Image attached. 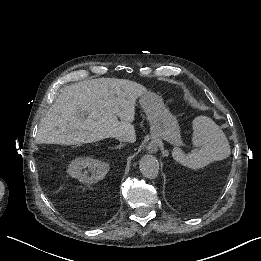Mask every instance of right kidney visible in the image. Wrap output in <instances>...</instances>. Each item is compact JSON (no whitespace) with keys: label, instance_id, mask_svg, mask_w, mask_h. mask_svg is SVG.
<instances>
[{"label":"right kidney","instance_id":"right-kidney-1","mask_svg":"<svg viewBox=\"0 0 261 261\" xmlns=\"http://www.w3.org/2000/svg\"><path fill=\"white\" fill-rule=\"evenodd\" d=\"M88 168L92 173L88 176L87 173H82V169ZM109 171V165L105 162L92 158H77L68 166L67 172L73 178L78 179L83 184H93L102 180Z\"/></svg>","mask_w":261,"mask_h":261}]
</instances>
